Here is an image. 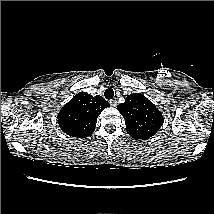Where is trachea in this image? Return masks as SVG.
Segmentation results:
<instances>
[{
	"label": "trachea",
	"mask_w": 214,
	"mask_h": 214,
	"mask_svg": "<svg viewBox=\"0 0 214 214\" xmlns=\"http://www.w3.org/2000/svg\"><path fill=\"white\" fill-rule=\"evenodd\" d=\"M104 96H105V98L108 99V100H109V99H112L113 96H114V91H113V89H111V88L106 89L105 92H104Z\"/></svg>",
	"instance_id": "1"
}]
</instances>
